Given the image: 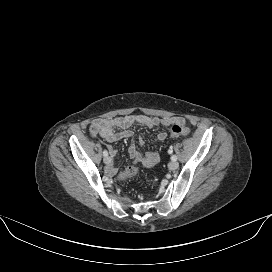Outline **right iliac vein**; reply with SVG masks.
<instances>
[{"mask_svg":"<svg viewBox=\"0 0 272 272\" xmlns=\"http://www.w3.org/2000/svg\"><path fill=\"white\" fill-rule=\"evenodd\" d=\"M104 163L109 164L110 163V157H108V156L104 157Z\"/></svg>","mask_w":272,"mask_h":272,"instance_id":"63e3f726","label":"right iliac vein"}]
</instances>
